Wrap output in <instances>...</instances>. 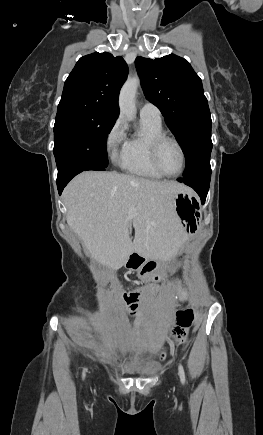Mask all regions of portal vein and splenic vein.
<instances>
[{
  "mask_svg": "<svg viewBox=\"0 0 263 435\" xmlns=\"http://www.w3.org/2000/svg\"><path fill=\"white\" fill-rule=\"evenodd\" d=\"M134 211H135V207L132 206V207L130 208L129 219H131V218L134 216Z\"/></svg>",
  "mask_w": 263,
  "mask_h": 435,
  "instance_id": "portal-vein-and-splenic-vein-1",
  "label": "portal vein and splenic vein"
}]
</instances>
